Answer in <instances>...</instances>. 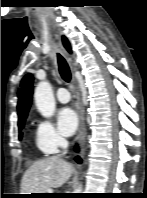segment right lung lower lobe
Masks as SVG:
<instances>
[{
    "label": "right lung lower lobe",
    "instance_id": "right-lung-lower-lobe-1",
    "mask_svg": "<svg viewBox=\"0 0 147 198\" xmlns=\"http://www.w3.org/2000/svg\"><path fill=\"white\" fill-rule=\"evenodd\" d=\"M78 150H79L78 147H75V151H78ZM75 159H76V161H77L78 163H81V159H80L79 156H77Z\"/></svg>",
    "mask_w": 147,
    "mask_h": 198
}]
</instances>
